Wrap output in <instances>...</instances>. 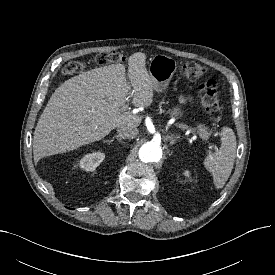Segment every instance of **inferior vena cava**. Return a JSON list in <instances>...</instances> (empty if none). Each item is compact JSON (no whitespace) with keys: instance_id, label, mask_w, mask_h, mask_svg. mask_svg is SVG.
<instances>
[{"instance_id":"1","label":"inferior vena cava","mask_w":275,"mask_h":275,"mask_svg":"<svg viewBox=\"0 0 275 275\" xmlns=\"http://www.w3.org/2000/svg\"><path fill=\"white\" fill-rule=\"evenodd\" d=\"M118 136L124 139H133L135 138L139 131L135 126L121 125L117 128Z\"/></svg>"}]
</instances>
